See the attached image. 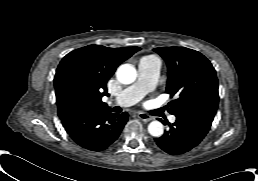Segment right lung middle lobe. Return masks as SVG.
Returning <instances> with one entry per match:
<instances>
[{
    "label": "right lung middle lobe",
    "mask_w": 258,
    "mask_h": 181,
    "mask_svg": "<svg viewBox=\"0 0 258 181\" xmlns=\"http://www.w3.org/2000/svg\"><path fill=\"white\" fill-rule=\"evenodd\" d=\"M68 108L70 111H73L78 109H86L88 108V105L78 98H71L68 103Z\"/></svg>",
    "instance_id": "1"
}]
</instances>
